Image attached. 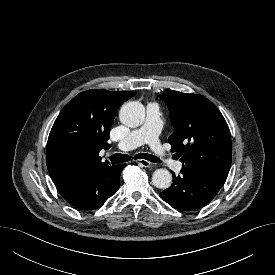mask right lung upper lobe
<instances>
[{
	"label": "right lung upper lobe",
	"instance_id": "right-lung-upper-lobe-1",
	"mask_svg": "<svg viewBox=\"0 0 275 275\" xmlns=\"http://www.w3.org/2000/svg\"><path fill=\"white\" fill-rule=\"evenodd\" d=\"M136 94L107 90L79 93L62 109L49 134L46 163L54 184L86 176L105 166L99 152L108 149L117 109Z\"/></svg>",
	"mask_w": 275,
	"mask_h": 275
}]
</instances>
